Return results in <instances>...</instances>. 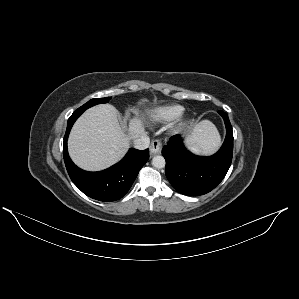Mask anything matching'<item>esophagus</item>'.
Returning <instances> with one entry per match:
<instances>
[{
    "mask_svg": "<svg viewBox=\"0 0 299 299\" xmlns=\"http://www.w3.org/2000/svg\"><path fill=\"white\" fill-rule=\"evenodd\" d=\"M162 148V144L159 140L155 139L152 141L151 145H150V154L156 155L159 154Z\"/></svg>",
    "mask_w": 299,
    "mask_h": 299,
    "instance_id": "1",
    "label": "esophagus"
}]
</instances>
